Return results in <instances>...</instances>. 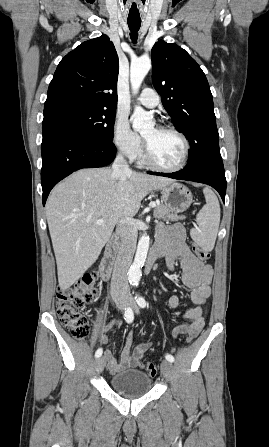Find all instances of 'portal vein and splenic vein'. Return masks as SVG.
I'll return each mask as SVG.
<instances>
[{"mask_svg":"<svg viewBox=\"0 0 269 447\" xmlns=\"http://www.w3.org/2000/svg\"><path fill=\"white\" fill-rule=\"evenodd\" d=\"M148 208L149 209H154L155 208V203L154 202H149L148 203ZM97 224H104V220H97Z\"/></svg>","mask_w":269,"mask_h":447,"instance_id":"18ae733b","label":"portal vein and splenic vein"}]
</instances>
